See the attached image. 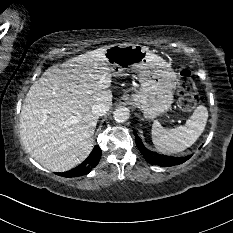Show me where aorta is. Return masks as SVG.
I'll return each instance as SVG.
<instances>
[{
  "mask_svg": "<svg viewBox=\"0 0 233 233\" xmlns=\"http://www.w3.org/2000/svg\"><path fill=\"white\" fill-rule=\"evenodd\" d=\"M129 116L130 111L127 107H119L113 113L114 120L121 123L125 122Z\"/></svg>",
  "mask_w": 233,
  "mask_h": 233,
  "instance_id": "1",
  "label": "aorta"
}]
</instances>
